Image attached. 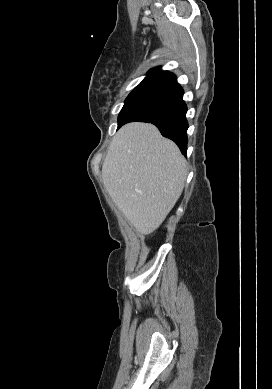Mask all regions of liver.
I'll use <instances>...</instances> for the list:
<instances>
[{
    "label": "liver",
    "instance_id": "6515ba94",
    "mask_svg": "<svg viewBox=\"0 0 272 389\" xmlns=\"http://www.w3.org/2000/svg\"><path fill=\"white\" fill-rule=\"evenodd\" d=\"M185 158L152 124L129 123L113 137L102 166L103 184L128 222L154 232L180 197Z\"/></svg>",
    "mask_w": 272,
    "mask_h": 389
}]
</instances>
